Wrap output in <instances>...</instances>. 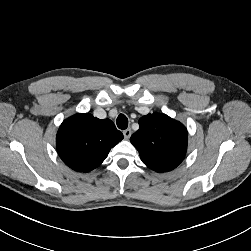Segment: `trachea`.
<instances>
[{"label":"trachea","instance_id":"1","mask_svg":"<svg viewBox=\"0 0 251 251\" xmlns=\"http://www.w3.org/2000/svg\"><path fill=\"white\" fill-rule=\"evenodd\" d=\"M117 127L124 130L128 127V119L124 114H120L116 120Z\"/></svg>","mask_w":251,"mask_h":251}]
</instances>
